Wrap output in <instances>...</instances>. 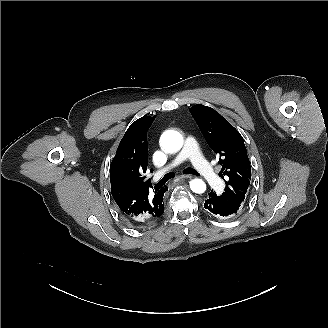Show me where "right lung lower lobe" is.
<instances>
[{
	"instance_id": "obj_1",
	"label": "right lung lower lobe",
	"mask_w": 328,
	"mask_h": 328,
	"mask_svg": "<svg viewBox=\"0 0 328 328\" xmlns=\"http://www.w3.org/2000/svg\"><path fill=\"white\" fill-rule=\"evenodd\" d=\"M123 216H124V215H123ZM124 218H125L130 224L134 225V222H133L132 220L127 219L125 216H124Z\"/></svg>"
}]
</instances>
